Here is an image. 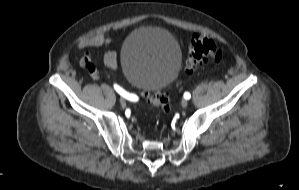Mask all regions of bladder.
<instances>
[{
	"label": "bladder",
	"instance_id": "obj_1",
	"mask_svg": "<svg viewBox=\"0 0 299 190\" xmlns=\"http://www.w3.org/2000/svg\"><path fill=\"white\" fill-rule=\"evenodd\" d=\"M182 55L174 36L161 28L142 27L131 33L120 52L121 69L133 85L161 91L178 76Z\"/></svg>",
	"mask_w": 299,
	"mask_h": 190
}]
</instances>
